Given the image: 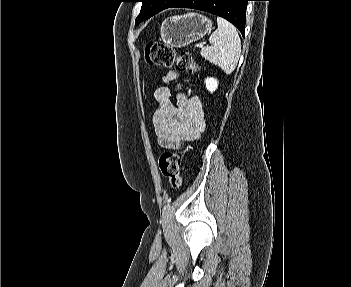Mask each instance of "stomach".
<instances>
[{
	"label": "stomach",
	"instance_id": "stomach-1",
	"mask_svg": "<svg viewBox=\"0 0 351 287\" xmlns=\"http://www.w3.org/2000/svg\"><path fill=\"white\" fill-rule=\"evenodd\" d=\"M212 28V21L198 13L171 16L160 28L161 39L171 47L180 48L203 38Z\"/></svg>",
	"mask_w": 351,
	"mask_h": 287
}]
</instances>
